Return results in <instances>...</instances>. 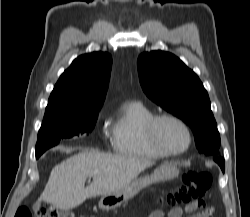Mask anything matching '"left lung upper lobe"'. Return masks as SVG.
Segmentation results:
<instances>
[{"label":"left lung upper lobe","mask_w":250,"mask_h":217,"mask_svg":"<svg viewBox=\"0 0 250 217\" xmlns=\"http://www.w3.org/2000/svg\"><path fill=\"white\" fill-rule=\"evenodd\" d=\"M137 65L145 94L191 127L199 152L220 155L217 124L198 76L175 55L164 51L141 54Z\"/></svg>","instance_id":"5c2ea615"}]
</instances>
